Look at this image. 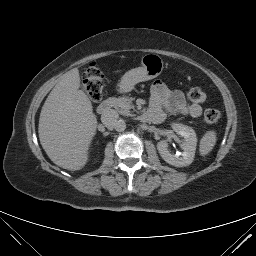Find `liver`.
<instances>
[{"label": "liver", "instance_id": "6515ba94", "mask_svg": "<svg viewBox=\"0 0 256 256\" xmlns=\"http://www.w3.org/2000/svg\"><path fill=\"white\" fill-rule=\"evenodd\" d=\"M79 88V70L74 68L61 77L48 95L38 127L40 143L50 160L73 171L86 165L97 128L92 103Z\"/></svg>", "mask_w": 256, "mask_h": 256}]
</instances>
